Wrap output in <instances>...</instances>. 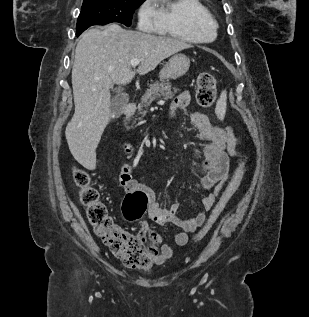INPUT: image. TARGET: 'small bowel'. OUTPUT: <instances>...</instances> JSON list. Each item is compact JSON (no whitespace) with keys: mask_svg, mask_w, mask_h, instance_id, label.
<instances>
[{"mask_svg":"<svg viewBox=\"0 0 309 317\" xmlns=\"http://www.w3.org/2000/svg\"><path fill=\"white\" fill-rule=\"evenodd\" d=\"M189 102V92H181L172 101L171 114H174L176 110L184 109ZM190 122L198 130L203 142L201 178L194 186L206 191V194L202 198L204 211L198 213L196 217L190 220L179 217V203L175 202L169 206L159 204L155 195L142 182L132 178V166L130 164H125L119 175V183L126 192H143L146 194L147 214L152 221L158 224L172 223L179 228L174 236V242L177 246L185 245L188 242L189 233L195 232L207 222L206 212L215 206L220 193L230 179L229 157H237L238 164L241 162L239 159L240 140L230 127L216 126L212 124L207 116L197 112L190 115ZM139 225V233L144 234L148 229L147 221L141 220ZM173 253L174 247L165 244L153 260L156 264H161L171 258Z\"/></svg>","mask_w":309,"mask_h":317,"instance_id":"c3829d8e","label":"small bowel"}]
</instances>
